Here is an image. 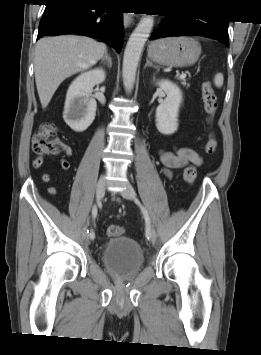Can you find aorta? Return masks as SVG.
I'll use <instances>...</instances> for the list:
<instances>
[{
  "label": "aorta",
  "instance_id": "762f6f07",
  "mask_svg": "<svg viewBox=\"0 0 261 355\" xmlns=\"http://www.w3.org/2000/svg\"><path fill=\"white\" fill-rule=\"evenodd\" d=\"M153 24L154 19L152 16L143 17L127 42L122 67V76L127 92H131L133 88L140 55L152 31Z\"/></svg>",
  "mask_w": 261,
  "mask_h": 355
}]
</instances>
